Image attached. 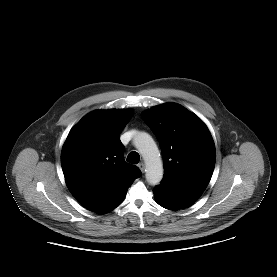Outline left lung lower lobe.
<instances>
[{"mask_svg":"<svg viewBox=\"0 0 277 277\" xmlns=\"http://www.w3.org/2000/svg\"><path fill=\"white\" fill-rule=\"evenodd\" d=\"M201 194L179 191L164 185L154 188L156 202L169 210H179L193 204Z\"/></svg>","mask_w":277,"mask_h":277,"instance_id":"obj_1","label":"left lung lower lobe"}]
</instances>
